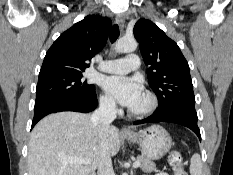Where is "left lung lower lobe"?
Returning <instances> with one entry per match:
<instances>
[{"mask_svg":"<svg viewBox=\"0 0 233 175\" xmlns=\"http://www.w3.org/2000/svg\"><path fill=\"white\" fill-rule=\"evenodd\" d=\"M197 113L194 106H179L165 112L156 113L146 119L135 121L134 124L171 122L191 129L201 140L200 130L197 125Z\"/></svg>","mask_w":233,"mask_h":175,"instance_id":"1","label":"left lung lower lobe"}]
</instances>
